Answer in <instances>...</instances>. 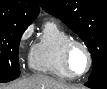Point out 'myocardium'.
Masks as SVG:
<instances>
[{
  "label": "myocardium",
  "mask_w": 107,
  "mask_h": 89,
  "mask_svg": "<svg viewBox=\"0 0 107 89\" xmlns=\"http://www.w3.org/2000/svg\"><path fill=\"white\" fill-rule=\"evenodd\" d=\"M75 47L82 48L87 57V67H86L85 71L80 74L74 73L70 66V55H71L72 50ZM62 58H63V64H64L66 71L73 78H78V77L84 76L86 73H88L90 71L92 64H93L92 54H91L88 46L84 42L77 40V39H73V38L65 43V45L63 47Z\"/></svg>",
  "instance_id": "1"
}]
</instances>
